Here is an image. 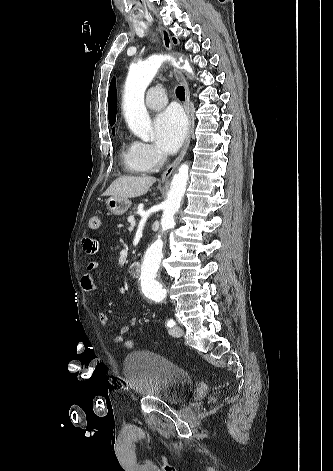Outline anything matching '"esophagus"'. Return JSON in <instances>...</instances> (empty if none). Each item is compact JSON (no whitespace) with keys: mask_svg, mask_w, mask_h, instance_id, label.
Masks as SVG:
<instances>
[{"mask_svg":"<svg viewBox=\"0 0 333 471\" xmlns=\"http://www.w3.org/2000/svg\"><path fill=\"white\" fill-rule=\"evenodd\" d=\"M159 30H160L161 35H162V40H163L164 47L166 48V50L168 52H170L172 50V41H171L170 34L166 29H164L162 27H159ZM174 74H175V77L178 80V82L180 84H182L184 89H185L184 108H185V111H186V114H187V117H188V132H187V137H186L185 143L183 145V148H182L180 154L174 160V162L163 172V174L161 176L162 181L168 180V178L172 175V173L174 172L176 167L179 165V163L182 161L183 157L185 156V154L187 152V149L189 147V143H190V139H191V133H192V126H193L192 116H191V112H190V90H189L188 83H187L184 75L182 74V72L180 70L174 68Z\"/></svg>","mask_w":333,"mask_h":471,"instance_id":"34e87169","label":"esophagus"}]
</instances>
